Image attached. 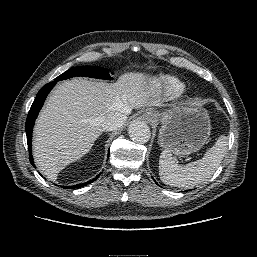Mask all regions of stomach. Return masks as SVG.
Segmentation results:
<instances>
[{"label": "stomach", "instance_id": "stomach-1", "mask_svg": "<svg viewBox=\"0 0 257 257\" xmlns=\"http://www.w3.org/2000/svg\"><path fill=\"white\" fill-rule=\"evenodd\" d=\"M158 144L176 156H186L200 150L206 143L211 124L206 109L192 105L174 108L161 114Z\"/></svg>", "mask_w": 257, "mask_h": 257}]
</instances>
